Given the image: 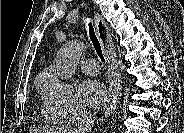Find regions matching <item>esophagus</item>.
Segmentation results:
<instances>
[{
	"instance_id": "1",
	"label": "esophagus",
	"mask_w": 184,
	"mask_h": 133,
	"mask_svg": "<svg viewBox=\"0 0 184 133\" xmlns=\"http://www.w3.org/2000/svg\"><path fill=\"white\" fill-rule=\"evenodd\" d=\"M94 25H95L98 39L102 46V50L104 51L107 57L109 68L112 71V76H114L115 75V62L113 58L114 53L112 50L113 43L111 40L109 29L106 23L104 22V20L98 14H95L94 16ZM114 108H115V100L112 99V97L110 96L104 108L105 114L106 115L110 114Z\"/></svg>"
}]
</instances>
